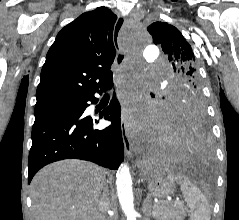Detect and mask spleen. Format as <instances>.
Masks as SVG:
<instances>
[{
	"instance_id": "3e777b00",
	"label": "spleen",
	"mask_w": 239,
	"mask_h": 220,
	"mask_svg": "<svg viewBox=\"0 0 239 220\" xmlns=\"http://www.w3.org/2000/svg\"><path fill=\"white\" fill-rule=\"evenodd\" d=\"M168 179L179 181L183 197L190 209L189 220H210L211 211L204 194L188 179L169 174Z\"/></svg>"
}]
</instances>
